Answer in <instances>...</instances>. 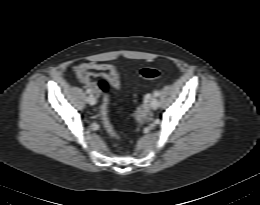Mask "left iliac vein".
Masks as SVG:
<instances>
[{
  "instance_id": "4c4485c4",
  "label": "left iliac vein",
  "mask_w": 260,
  "mask_h": 205,
  "mask_svg": "<svg viewBox=\"0 0 260 205\" xmlns=\"http://www.w3.org/2000/svg\"><path fill=\"white\" fill-rule=\"evenodd\" d=\"M149 106L151 109L156 110L159 107V101L156 97H153L150 100Z\"/></svg>"
}]
</instances>
